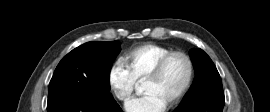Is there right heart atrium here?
Instances as JSON below:
<instances>
[{
	"label": "right heart atrium",
	"mask_w": 270,
	"mask_h": 112,
	"mask_svg": "<svg viewBox=\"0 0 270 112\" xmlns=\"http://www.w3.org/2000/svg\"><path fill=\"white\" fill-rule=\"evenodd\" d=\"M107 83L114 97L120 102L129 100L138 84L127 66L121 61H116L109 67Z\"/></svg>",
	"instance_id": "1"
}]
</instances>
